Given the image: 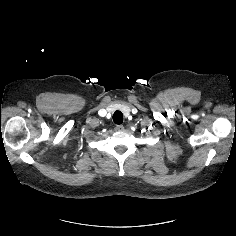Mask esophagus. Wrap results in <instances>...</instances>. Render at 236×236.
Instances as JSON below:
<instances>
[{"label":"esophagus","mask_w":236,"mask_h":236,"mask_svg":"<svg viewBox=\"0 0 236 236\" xmlns=\"http://www.w3.org/2000/svg\"><path fill=\"white\" fill-rule=\"evenodd\" d=\"M116 130L119 131V132H122V131H124V126L123 125H117Z\"/></svg>","instance_id":"obj_1"}]
</instances>
